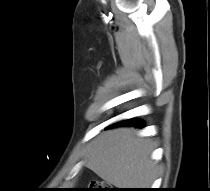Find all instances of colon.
Segmentation results:
<instances>
[{
  "label": "colon",
  "mask_w": 210,
  "mask_h": 191,
  "mask_svg": "<svg viewBox=\"0 0 210 191\" xmlns=\"http://www.w3.org/2000/svg\"><path fill=\"white\" fill-rule=\"evenodd\" d=\"M89 191H110V188H108L102 181L92 180Z\"/></svg>",
  "instance_id": "colon-1"
}]
</instances>
